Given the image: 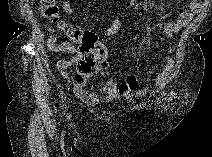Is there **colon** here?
<instances>
[{"label":"colon","instance_id":"5ec220e1","mask_svg":"<svg viewBox=\"0 0 212 157\" xmlns=\"http://www.w3.org/2000/svg\"><path fill=\"white\" fill-rule=\"evenodd\" d=\"M33 6L45 19L65 30L71 39L82 42L81 52L85 56L78 65V72L74 77L75 84L83 86L86 80L108 67V49L95 34L85 33L75 25H66L61 20L54 1L35 0Z\"/></svg>","mask_w":212,"mask_h":157}]
</instances>
